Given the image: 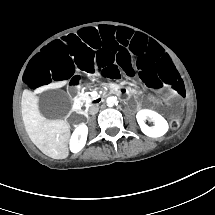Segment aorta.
<instances>
[{
  "instance_id": "aorta-1",
  "label": "aorta",
  "mask_w": 215,
  "mask_h": 215,
  "mask_svg": "<svg viewBox=\"0 0 215 215\" xmlns=\"http://www.w3.org/2000/svg\"><path fill=\"white\" fill-rule=\"evenodd\" d=\"M106 102L109 106H113L117 103V98L114 96H110L107 98Z\"/></svg>"
}]
</instances>
